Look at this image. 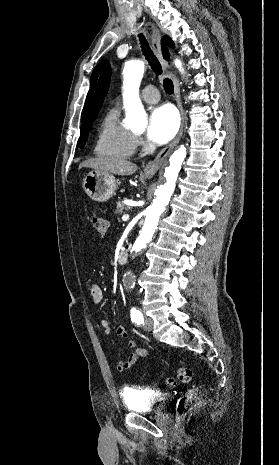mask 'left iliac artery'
Masks as SVG:
<instances>
[{
	"label": "left iliac artery",
	"instance_id": "44dca946",
	"mask_svg": "<svg viewBox=\"0 0 279 465\" xmlns=\"http://www.w3.org/2000/svg\"><path fill=\"white\" fill-rule=\"evenodd\" d=\"M131 319L138 325L142 324L144 321L141 311L134 307L131 309Z\"/></svg>",
	"mask_w": 279,
	"mask_h": 465
}]
</instances>
